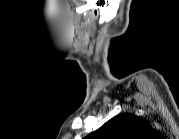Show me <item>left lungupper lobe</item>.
I'll list each match as a JSON object with an SVG mask.
<instances>
[{
  "mask_svg": "<svg viewBox=\"0 0 179 139\" xmlns=\"http://www.w3.org/2000/svg\"><path fill=\"white\" fill-rule=\"evenodd\" d=\"M152 132L151 126L133 114H120L87 137L89 139H143Z\"/></svg>",
  "mask_w": 179,
  "mask_h": 139,
  "instance_id": "5c2ea615",
  "label": "left lung upper lobe"
}]
</instances>
